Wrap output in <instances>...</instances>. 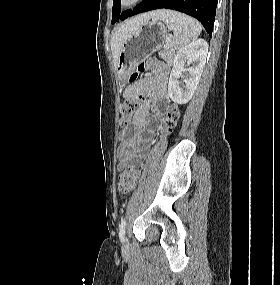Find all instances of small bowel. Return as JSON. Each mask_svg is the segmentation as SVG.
<instances>
[{
    "instance_id": "c3829d8e",
    "label": "small bowel",
    "mask_w": 280,
    "mask_h": 285,
    "mask_svg": "<svg viewBox=\"0 0 280 285\" xmlns=\"http://www.w3.org/2000/svg\"><path fill=\"white\" fill-rule=\"evenodd\" d=\"M170 71L167 67L163 68L158 75L147 74L138 83L129 86L124 92L125 99L136 98L140 94H146L147 99L138 108L133 125L137 131L125 129L120 136L119 147V169L133 163L134 159L143 152L149 145L155 127L147 123L150 106L159 104L155 110V117H162L169 108L167 95V84Z\"/></svg>"
}]
</instances>
